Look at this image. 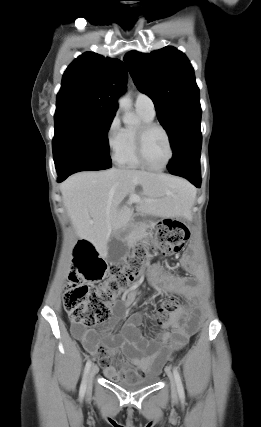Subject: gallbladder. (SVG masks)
<instances>
[{
  "mask_svg": "<svg viewBox=\"0 0 261 427\" xmlns=\"http://www.w3.org/2000/svg\"><path fill=\"white\" fill-rule=\"evenodd\" d=\"M126 252L125 243L118 239L116 234H112L107 243V260L111 263L119 264L123 261Z\"/></svg>",
  "mask_w": 261,
  "mask_h": 427,
  "instance_id": "bac80fb5",
  "label": "gallbladder"
}]
</instances>
